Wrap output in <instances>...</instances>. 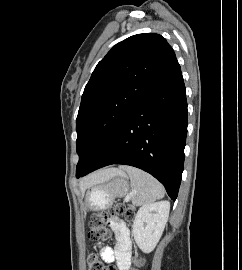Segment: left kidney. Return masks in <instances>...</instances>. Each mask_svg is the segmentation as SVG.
<instances>
[{"label": "left kidney", "instance_id": "left-kidney-1", "mask_svg": "<svg viewBox=\"0 0 242 270\" xmlns=\"http://www.w3.org/2000/svg\"><path fill=\"white\" fill-rule=\"evenodd\" d=\"M169 211L168 201L146 204L138 210L132 233L136 244L144 253L152 252L159 242Z\"/></svg>", "mask_w": 242, "mask_h": 270}]
</instances>
